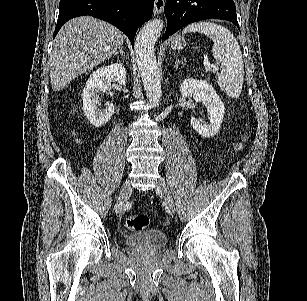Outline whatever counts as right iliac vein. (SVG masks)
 <instances>
[{
	"label": "right iliac vein",
	"mask_w": 307,
	"mask_h": 301,
	"mask_svg": "<svg viewBox=\"0 0 307 301\" xmlns=\"http://www.w3.org/2000/svg\"><path fill=\"white\" fill-rule=\"evenodd\" d=\"M130 192V186L127 181H125L120 190V196L115 204V212L120 213L125 205L126 199Z\"/></svg>",
	"instance_id": "63e3f726"
}]
</instances>
